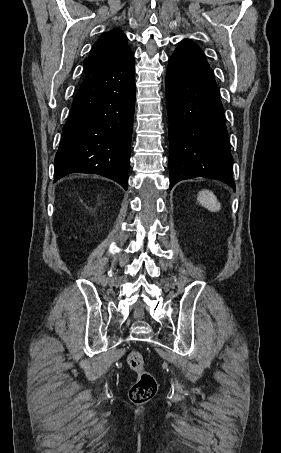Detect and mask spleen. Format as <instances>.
I'll return each mask as SVG.
<instances>
[{
    "mask_svg": "<svg viewBox=\"0 0 281 453\" xmlns=\"http://www.w3.org/2000/svg\"><path fill=\"white\" fill-rule=\"evenodd\" d=\"M199 202L206 206L208 210H212V212H216V210H220L221 204L218 202L215 194L210 192V190H205L204 194L198 198Z\"/></svg>",
    "mask_w": 281,
    "mask_h": 453,
    "instance_id": "spleen-1",
    "label": "spleen"
}]
</instances>
